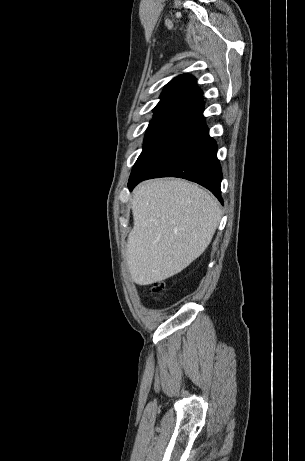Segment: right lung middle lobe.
I'll return each instance as SVG.
<instances>
[{
  "label": "right lung middle lobe",
  "mask_w": 305,
  "mask_h": 461,
  "mask_svg": "<svg viewBox=\"0 0 305 461\" xmlns=\"http://www.w3.org/2000/svg\"><path fill=\"white\" fill-rule=\"evenodd\" d=\"M187 110L183 107L155 108L153 120L150 121L145 135L143 151L135 165L143 160L168 135L178 119Z\"/></svg>",
  "instance_id": "right-lung-middle-lobe-1"
}]
</instances>
